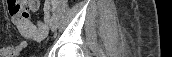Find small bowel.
<instances>
[{"instance_id": "c3829d8e", "label": "small bowel", "mask_w": 172, "mask_h": 57, "mask_svg": "<svg viewBox=\"0 0 172 57\" xmlns=\"http://www.w3.org/2000/svg\"><path fill=\"white\" fill-rule=\"evenodd\" d=\"M39 7V1L37 0H26V1H15L10 3L9 11L11 13V23L16 25L20 22H28L29 15L31 12H35ZM27 40H21L15 45H8L0 47L1 57H16L26 46Z\"/></svg>"}]
</instances>
